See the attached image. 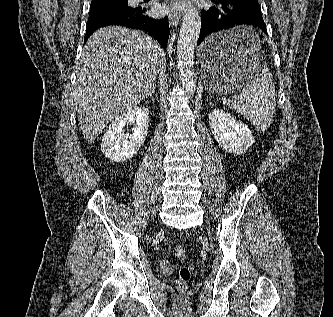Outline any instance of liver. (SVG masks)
Instances as JSON below:
<instances>
[{
	"label": "liver",
	"instance_id": "6515ba94",
	"mask_svg": "<svg viewBox=\"0 0 333 317\" xmlns=\"http://www.w3.org/2000/svg\"><path fill=\"white\" fill-rule=\"evenodd\" d=\"M164 57L160 45L137 30L113 26L89 37L74 94L80 129L88 143L147 97Z\"/></svg>",
	"mask_w": 333,
	"mask_h": 317
}]
</instances>
